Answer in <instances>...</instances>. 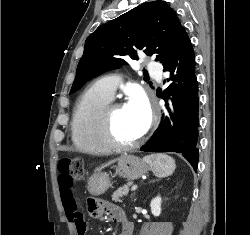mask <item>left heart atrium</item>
<instances>
[{"label": "left heart atrium", "instance_id": "39dd6f15", "mask_svg": "<svg viewBox=\"0 0 250 235\" xmlns=\"http://www.w3.org/2000/svg\"><path fill=\"white\" fill-rule=\"evenodd\" d=\"M126 107L135 117L137 126L143 134L151 122V109L146 97L141 93H135L131 96Z\"/></svg>", "mask_w": 250, "mask_h": 235}]
</instances>
